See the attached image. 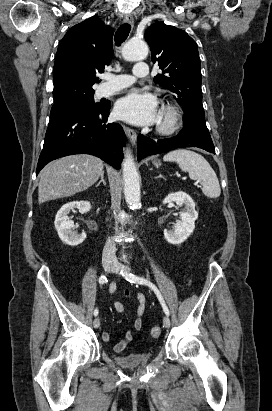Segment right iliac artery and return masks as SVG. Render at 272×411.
Segmentation results:
<instances>
[{
    "label": "right iliac artery",
    "instance_id": "right-iliac-artery-1",
    "mask_svg": "<svg viewBox=\"0 0 272 411\" xmlns=\"http://www.w3.org/2000/svg\"><path fill=\"white\" fill-rule=\"evenodd\" d=\"M106 282H107L106 277H105L104 275H102V276L99 278V283H100V284H104V283H106ZM98 313H99V311H98V309L96 308V309L94 310V316H97Z\"/></svg>",
    "mask_w": 272,
    "mask_h": 411
}]
</instances>
